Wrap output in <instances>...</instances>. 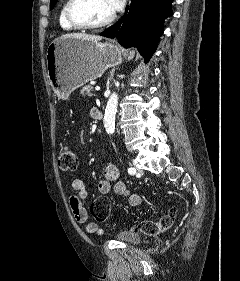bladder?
<instances>
[{"mask_svg": "<svg viewBox=\"0 0 240 281\" xmlns=\"http://www.w3.org/2000/svg\"><path fill=\"white\" fill-rule=\"evenodd\" d=\"M116 239L126 244L138 245L143 240V234L134 231H122L116 235Z\"/></svg>", "mask_w": 240, "mask_h": 281, "instance_id": "31cf9c89", "label": "bladder"}]
</instances>
